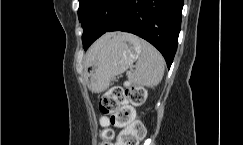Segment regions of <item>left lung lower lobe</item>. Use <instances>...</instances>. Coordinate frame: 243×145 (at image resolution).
Here are the masks:
<instances>
[{"instance_id": "obj_1", "label": "left lung lower lobe", "mask_w": 243, "mask_h": 145, "mask_svg": "<svg viewBox=\"0 0 243 145\" xmlns=\"http://www.w3.org/2000/svg\"><path fill=\"white\" fill-rule=\"evenodd\" d=\"M183 0H125L110 22L89 19L83 47L86 50L109 31L130 32L154 45L170 67L177 50Z\"/></svg>"}]
</instances>
